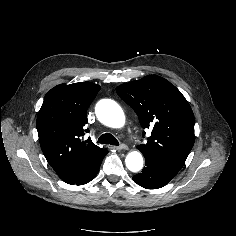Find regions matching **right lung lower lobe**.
Here are the masks:
<instances>
[{"instance_id":"98d812e1","label":"right lung lower lobe","mask_w":236,"mask_h":236,"mask_svg":"<svg viewBox=\"0 0 236 236\" xmlns=\"http://www.w3.org/2000/svg\"><path fill=\"white\" fill-rule=\"evenodd\" d=\"M105 156V155H104ZM104 156L99 159L93 166H91L86 173H84L83 175L75 178V179H71L68 181H65L68 184H76V185H83L86 184L88 182H90L93 178H95V176L97 175L98 171H99V167L101 165V162L104 158Z\"/></svg>"}]
</instances>
